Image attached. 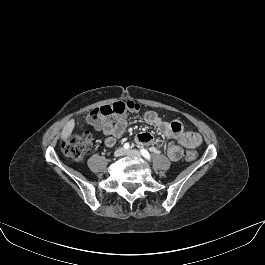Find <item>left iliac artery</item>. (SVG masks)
<instances>
[{"label": "left iliac artery", "instance_id": "left-iliac-artery-1", "mask_svg": "<svg viewBox=\"0 0 265 265\" xmlns=\"http://www.w3.org/2000/svg\"><path fill=\"white\" fill-rule=\"evenodd\" d=\"M140 152H141L142 156L144 158H146L147 160L151 159V156H150L149 152L146 149H141Z\"/></svg>", "mask_w": 265, "mask_h": 265}]
</instances>
